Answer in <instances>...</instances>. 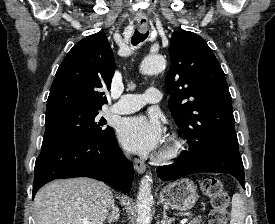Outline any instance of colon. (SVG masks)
I'll return each instance as SVG.
<instances>
[{
    "label": "colon",
    "mask_w": 275,
    "mask_h": 224,
    "mask_svg": "<svg viewBox=\"0 0 275 224\" xmlns=\"http://www.w3.org/2000/svg\"><path fill=\"white\" fill-rule=\"evenodd\" d=\"M202 191L210 198L212 209L208 216V224H227L230 196L216 177L205 176L201 180Z\"/></svg>",
    "instance_id": "colon-1"
}]
</instances>
